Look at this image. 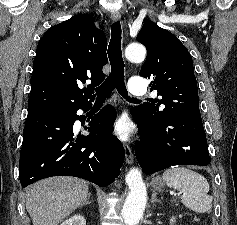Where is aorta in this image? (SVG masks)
Masks as SVG:
<instances>
[{"mask_svg":"<svg viewBox=\"0 0 237 225\" xmlns=\"http://www.w3.org/2000/svg\"><path fill=\"white\" fill-rule=\"evenodd\" d=\"M126 58L133 63L142 62L146 56V49L140 44H130L125 49ZM125 182L130 191L122 209V217L127 225H136L140 221L146 206V185L141 172L137 168L129 170Z\"/></svg>","mask_w":237,"mask_h":225,"instance_id":"aorta-1","label":"aorta"}]
</instances>
